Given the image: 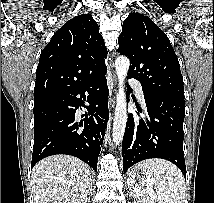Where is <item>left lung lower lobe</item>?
<instances>
[{"label": "left lung lower lobe", "mask_w": 214, "mask_h": 203, "mask_svg": "<svg viewBox=\"0 0 214 203\" xmlns=\"http://www.w3.org/2000/svg\"><path fill=\"white\" fill-rule=\"evenodd\" d=\"M128 89L131 91L129 86ZM143 93L150 118L137 121L132 114L128 116L122 142L124 173L137 162L161 158L174 163L186 177L183 152L184 99Z\"/></svg>", "instance_id": "1"}]
</instances>
